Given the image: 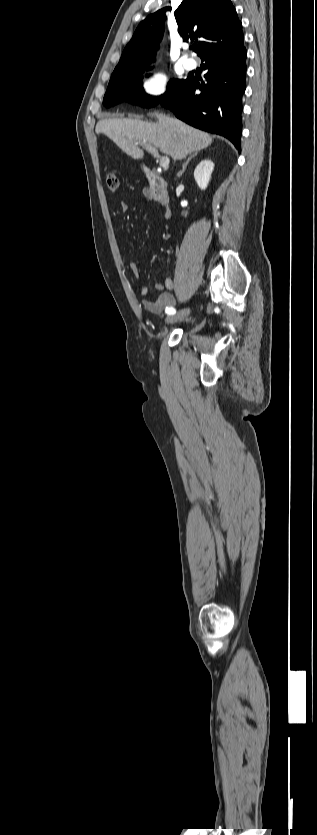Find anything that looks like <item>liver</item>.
Returning a JSON list of instances; mask_svg holds the SVG:
<instances>
[{"mask_svg": "<svg viewBox=\"0 0 317 835\" xmlns=\"http://www.w3.org/2000/svg\"><path fill=\"white\" fill-rule=\"evenodd\" d=\"M156 123L134 118H105L99 120L95 132L103 133L123 152L141 159L144 155L138 144L153 145L174 160H182L188 154L198 152L211 145L210 134L195 129L184 122L163 113H150Z\"/></svg>", "mask_w": 317, "mask_h": 835, "instance_id": "6515ba94", "label": "liver"}]
</instances>
